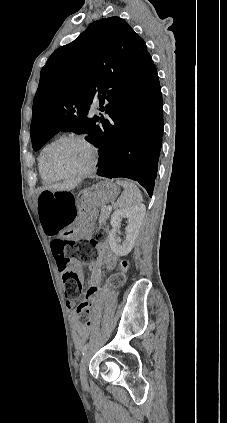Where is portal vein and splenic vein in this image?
Returning <instances> with one entry per match:
<instances>
[{"label": "portal vein and splenic vein", "instance_id": "18ae733b", "mask_svg": "<svg viewBox=\"0 0 227 423\" xmlns=\"http://www.w3.org/2000/svg\"><path fill=\"white\" fill-rule=\"evenodd\" d=\"M106 210L111 211L112 210L111 206H108V208H106Z\"/></svg>", "mask_w": 227, "mask_h": 423}]
</instances>
